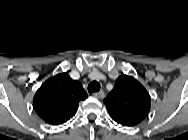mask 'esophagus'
I'll use <instances>...</instances> for the list:
<instances>
[{"label": "esophagus", "instance_id": "1", "mask_svg": "<svg viewBox=\"0 0 188 140\" xmlns=\"http://www.w3.org/2000/svg\"><path fill=\"white\" fill-rule=\"evenodd\" d=\"M93 96L98 99H103L105 97V93L103 91L93 93Z\"/></svg>", "mask_w": 188, "mask_h": 140}]
</instances>
